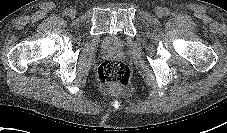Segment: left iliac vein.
Wrapping results in <instances>:
<instances>
[{
    "label": "left iliac vein",
    "instance_id": "1",
    "mask_svg": "<svg viewBox=\"0 0 227 133\" xmlns=\"http://www.w3.org/2000/svg\"><path fill=\"white\" fill-rule=\"evenodd\" d=\"M155 11H156V13H157L158 16L165 15V13H164L165 10L163 8H161V7H157Z\"/></svg>",
    "mask_w": 227,
    "mask_h": 133
}]
</instances>
